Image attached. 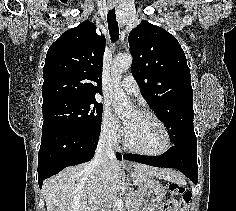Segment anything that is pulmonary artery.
<instances>
[{"instance_id":"obj_1","label":"pulmonary artery","mask_w":236,"mask_h":211,"mask_svg":"<svg viewBox=\"0 0 236 211\" xmlns=\"http://www.w3.org/2000/svg\"><path fill=\"white\" fill-rule=\"evenodd\" d=\"M121 87L128 95L137 96L140 93L139 84L132 76H126L122 81Z\"/></svg>"}]
</instances>
